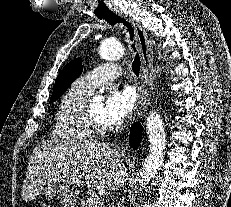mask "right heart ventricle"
Masks as SVG:
<instances>
[{
    "mask_svg": "<svg viewBox=\"0 0 231 207\" xmlns=\"http://www.w3.org/2000/svg\"><path fill=\"white\" fill-rule=\"evenodd\" d=\"M89 95L75 83L65 92L55 114V137L67 142H82L93 136L83 118L84 105Z\"/></svg>",
    "mask_w": 231,
    "mask_h": 207,
    "instance_id": "e07e8e85",
    "label": "right heart ventricle"
}]
</instances>
